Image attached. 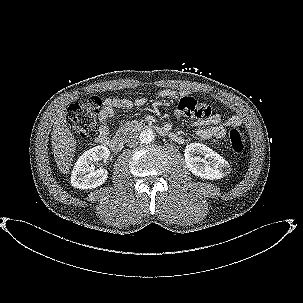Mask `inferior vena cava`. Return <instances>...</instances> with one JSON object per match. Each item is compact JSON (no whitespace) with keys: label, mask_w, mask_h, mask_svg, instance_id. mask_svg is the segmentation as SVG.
<instances>
[{"label":"inferior vena cava","mask_w":303,"mask_h":303,"mask_svg":"<svg viewBox=\"0 0 303 303\" xmlns=\"http://www.w3.org/2000/svg\"><path fill=\"white\" fill-rule=\"evenodd\" d=\"M139 138L136 133L130 132L127 134L125 138V142L127 146L133 147L138 144Z\"/></svg>","instance_id":"inferior-vena-cava-1"}]
</instances>
